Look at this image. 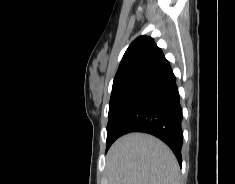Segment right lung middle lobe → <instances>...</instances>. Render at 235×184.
<instances>
[{
  "mask_svg": "<svg viewBox=\"0 0 235 184\" xmlns=\"http://www.w3.org/2000/svg\"><path fill=\"white\" fill-rule=\"evenodd\" d=\"M127 89H128V87H123V88L112 91L110 102H109V121H108V125H107L106 152L115 140L114 135L110 131L109 125H110L111 120H112V118L118 108V105H119L120 101L122 100L124 94L126 93Z\"/></svg>",
  "mask_w": 235,
  "mask_h": 184,
  "instance_id": "1",
  "label": "right lung middle lobe"
}]
</instances>
